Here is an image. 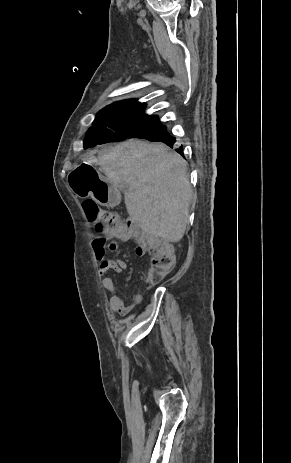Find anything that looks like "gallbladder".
Returning a JSON list of instances; mask_svg holds the SVG:
<instances>
[{
	"label": "gallbladder",
	"instance_id": "1",
	"mask_svg": "<svg viewBox=\"0 0 291 463\" xmlns=\"http://www.w3.org/2000/svg\"><path fill=\"white\" fill-rule=\"evenodd\" d=\"M128 190V187L126 185H124L122 188H121V191L123 192H126Z\"/></svg>",
	"mask_w": 291,
	"mask_h": 463
}]
</instances>
